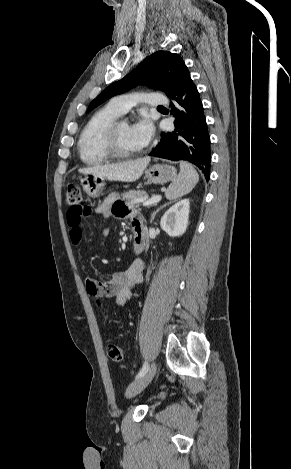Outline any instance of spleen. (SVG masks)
I'll return each mask as SVG.
<instances>
[{
    "mask_svg": "<svg viewBox=\"0 0 291 469\" xmlns=\"http://www.w3.org/2000/svg\"><path fill=\"white\" fill-rule=\"evenodd\" d=\"M199 181V175L194 167L185 161L180 162V172L165 192L166 198L173 200L192 191Z\"/></svg>",
    "mask_w": 291,
    "mask_h": 469,
    "instance_id": "3e777b00",
    "label": "spleen"
}]
</instances>
